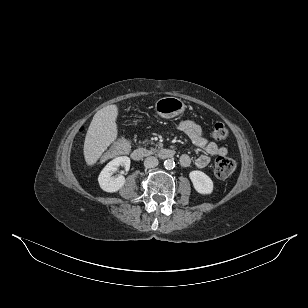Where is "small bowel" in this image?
<instances>
[{"label": "small bowel", "instance_id": "small-bowel-1", "mask_svg": "<svg viewBox=\"0 0 308 308\" xmlns=\"http://www.w3.org/2000/svg\"><path fill=\"white\" fill-rule=\"evenodd\" d=\"M178 129L183 132L190 141L202 149L205 154L199 155L195 159V165L198 168H205L210 163V156H226L228 150L226 147L218 146L215 142L208 140L203 134L199 124L192 120H184L178 124ZM192 158L188 154H183L180 157V164L187 167L191 164Z\"/></svg>", "mask_w": 308, "mask_h": 308}]
</instances>
